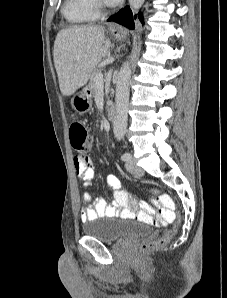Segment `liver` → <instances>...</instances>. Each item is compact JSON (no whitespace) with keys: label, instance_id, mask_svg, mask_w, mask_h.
Returning a JSON list of instances; mask_svg holds the SVG:
<instances>
[{"label":"liver","instance_id":"6515ba94","mask_svg":"<svg viewBox=\"0 0 227 298\" xmlns=\"http://www.w3.org/2000/svg\"><path fill=\"white\" fill-rule=\"evenodd\" d=\"M110 45L102 27L75 26L59 31L53 56L64 96L74 94L88 82Z\"/></svg>","mask_w":227,"mask_h":298}]
</instances>
